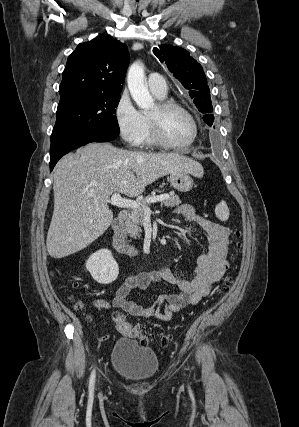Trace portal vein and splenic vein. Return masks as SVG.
Masks as SVG:
<instances>
[{
    "instance_id": "obj_1",
    "label": "portal vein and splenic vein",
    "mask_w": 299,
    "mask_h": 427,
    "mask_svg": "<svg viewBox=\"0 0 299 427\" xmlns=\"http://www.w3.org/2000/svg\"><path fill=\"white\" fill-rule=\"evenodd\" d=\"M167 198H168V195L164 194V195L152 197V198H150L148 200V202H150V203L161 202V201H164ZM108 202L111 205H114V206H117V207H120V208L137 209V208H140V205H141L140 202H137L135 200L122 198L121 195L119 193H117V192H115L111 196V199ZM143 210L147 214L151 213V210L148 207H143Z\"/></svg>"
}]
</instances>
